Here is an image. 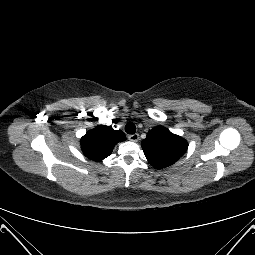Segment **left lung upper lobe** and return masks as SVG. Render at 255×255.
Returning a JSON list of instances; mask_svg holds the SVG:
<instances>
[{"mask_svg": "<svg viewBox=\"0 0 255 255\" xmlns=\"http://www.w3.org/2000/svg\"><path fill=\"white\" fill-rule=\"evenodd\" d=\"M141 146L148 162L161 169L174 164L187 151L188 143L167 128L157 126L148 132Z\"/></svg>", "mask_w": 255, "mask_h": 255, "instance_id": "1", "label": "left lung upper lobe"}]
</instances>
